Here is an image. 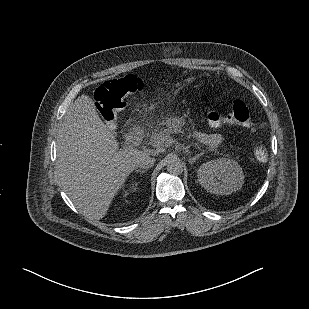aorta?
<instances>
[{"label":"aorta","mask_w":309,"mask_h":309,"mask_svg":"<svg viewBox=\"0 0 309 309\" xmlns=\"http://www.w3.org/2000/svg\"><path fill=\"white\" fill-rule=\"evenodd\" d=\"M167 171L172 175H180L184 170L183 162L177 156L167 158Z\"/></svg>","instance_id":"obj_1"}]
</instances>
